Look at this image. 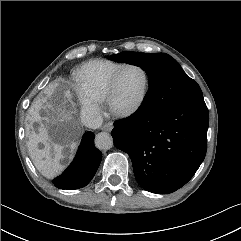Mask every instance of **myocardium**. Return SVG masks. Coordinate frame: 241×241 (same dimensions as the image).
I'll return each mask as SVG.
<instances>
[{
	"label": "myocardium",
	"mask_w": 241,
	"mask_h": 241,
	"mask_svg": "<svg viewBox=\"0 0 241 241\" xmlns=\"http://www.w3.org/2000/svg\"><path fill=\"white\" fill-rule=\"evenodd\" d=\"M132 67L138 68L143 72V74L145 76L144 87H143V90H142L139 98L137 99V101L134 104H132L130 107H128L126 109L120 110V109L115 108V106L113 104V97H114L115 90H116V84H117L118 78L121 75V73L125 69L132 68ZM149 87H150V75H149L148 70L144 66H142L141 64H138V63H126L115 72V74L112 76V78L109 82L108 89H107L106 96H105V102H106L107 108L116 117H119V118L130 117V116L134 115L136 112H138L140 110V108L143 106V104L146 101V98L148 96Z\"/></svg>",
	"instance_id": "obj_1"
}]
</instances>
